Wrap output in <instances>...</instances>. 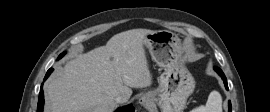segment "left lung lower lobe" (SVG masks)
I'll return each instance as SVG.
<instances>
[{
  "mask_svg": "<svg viewBox=\"0 0 270 112\" xmlns=\"http://www.w3.org/2000/svg\"><path fill=\"white\" fill-rule=\"evenodd\" d=\"M214 70L221 76V78L223 79V82L225 84V88L228 90L227 79H226L223 71L218 67H214ZM228 112H231V102L230 101L228 103Z\"/></svg>",
  "mask_w": 270,
  "mask_h": 112,
  "instance_id": "obj_1",
  "label": "left lung lower lobe"
}]
</instances>
